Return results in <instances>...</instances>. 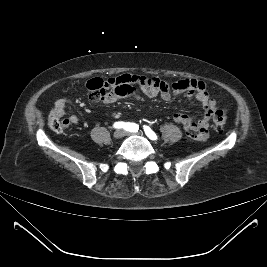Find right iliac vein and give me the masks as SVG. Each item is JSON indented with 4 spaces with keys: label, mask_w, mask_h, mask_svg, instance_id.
Instances as JSON below:
<instances>
[{
    "label": "right iliac vein",
    "mask_w": 267,
    "mask_h": 267,
    "mask_svg": "<svg viewBox=\"0 0 267 267\" xmlns=\"http://www.w3.org/2000/svg\"><path fill=\"white\" fill-rule=\"evenodd\" d=\"M124 135H125V130H124V129H118V130H116V131L114 132L113 137H114L115 139H120V138H122Z\"/></svg>",
    "instance_id": "obj_1"
}]
</instances>
